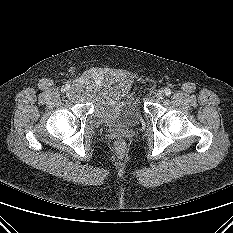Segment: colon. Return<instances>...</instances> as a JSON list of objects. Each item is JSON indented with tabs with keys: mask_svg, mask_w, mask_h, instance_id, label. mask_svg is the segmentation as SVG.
Listing matches in <instances>:
<instances>
[{
	"mask_svg": "<svg viewBox=\"0 0 233 233\" xmlns=\"http://www.w3.org/2000/svg\"><path fill=\"white\" fill-rule=\"evenodd\" d=\"M126 142L124 139H117L115 142H114V149H115V152L117 153L118 156H123L126 152Z\"/></svg>",
	"mask_w": 233,
	"mask_h": 233,
	"instance_id": "1",
	"label": "colon"
}]
</instances>
